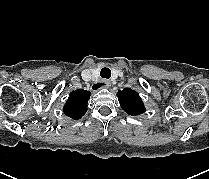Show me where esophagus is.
<instances>
[{"mask_svg": "<svg viewBox=\"0 0 209 179\" xmlns=\"http://www.w3.org/2000/svg\"><path fill=\"white\" fill-rule=\"evenodd\" d=\"M104 87V88H108L110 86V81L107 80V79H103L100 84H96V85H93V89H98L99 87Z\"/></svg>", "mask_w": 209, "mask_h": 179, "instance_id": "1", "label": "esophagus"}]
</instances>
